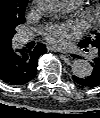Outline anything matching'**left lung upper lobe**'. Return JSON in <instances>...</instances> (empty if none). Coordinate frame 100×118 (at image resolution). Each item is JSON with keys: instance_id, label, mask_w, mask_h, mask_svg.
<instances>
[{"instance_id": "obj_1", "label": "left lung upper lobe", "mask_w": 100, "mask_h": 118, "mask_svg": "<svg viewBox=\"0 0 100 118\" xmlns=\"http://www.w3.org/2000/svg\"><path fill=\"white\" fill-rule=\"evenodd\" d=\"M93 35L81 40L79 42L80 46H84V47H88V46H92V47H99L100 46V29L97 31H94L92 33Z\"/></svg>"}]
</instances>
